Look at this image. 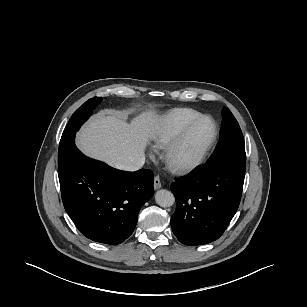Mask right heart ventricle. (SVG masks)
<instances>
[{"mask_svg": "<svg viewBox=\"0 0 307 307\" xmlns=\"http://www.w3.org/2000/svg\"><path fill=\"white\" fill-rule=\"evenodd\" d=\"M202 115L191 108H176L163 116L153 137L156 149H166L178 136L182 129L193 119Z\"/></svg>", "mask_w": 307, "mask_h": 307, "instance_id": "1", "label": "right heart ventricle"}]
</instances>
